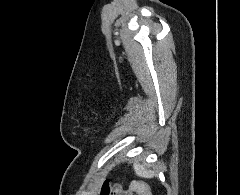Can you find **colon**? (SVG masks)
Masks as SVG:
<instances>
[{"mask_svg": "<svg viewBox=\"0 0 240 195\" xmlns=\"http://www.w3.org/2000/svg\"><path fill=\"white\" fill-rule=\"evenodd\" d=\"M132 185L134 187H141V191L144 193V195H152L153 191L151 189H148V185L144 180H134L132 182ZM129 192H124L119 186H111V184L108 181H104L100 188V195H130Z\"/></svg>", "mask_w": 240, "mask_h": 195, "instance_id": "colon-1", "label": "colon"}]
</instances>
